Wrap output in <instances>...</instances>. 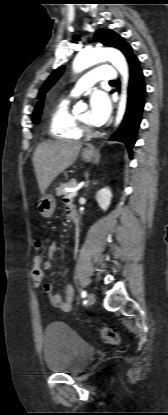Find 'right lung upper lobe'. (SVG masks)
<instances>
[{"mask_svg":"<svg viewBox=\"0 0 168 415\" xmlns=\"http://www.w3.org/2000/svg\"><path fill=\"white\" fill-rule=\"evenodd\" d=\"M42 108H43V99H41V100L38 102V104H37V106H36V108H35V110H34V113H37V112H39V111H42Z\"/></svg>","mask_w":168,"mask_h":415,"instance_id":"cb5924a9","label":"right lung upper lobe"}]
</instances>
